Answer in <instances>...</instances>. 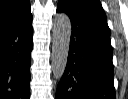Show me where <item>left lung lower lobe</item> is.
Returning <instances> with one entry per match:
<instances>
[{"instance_id":"obj_1","label":"left lung lower lobe","mask_w":128,"mask_h":99,"mask_svg":"<svg viewBox=\"0 0 128 99\" xmlns=\"http://www.w3.org/2000/svg\"><path fill=\"white\" fill-rule=\"evenodd\" d=\"M57 12L70 16L73 31L56 99H115L113 51L106 15L70 0H58Z\"/></svg>"}]
</instances>
